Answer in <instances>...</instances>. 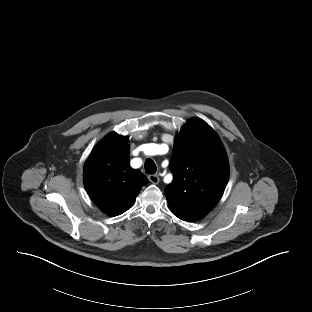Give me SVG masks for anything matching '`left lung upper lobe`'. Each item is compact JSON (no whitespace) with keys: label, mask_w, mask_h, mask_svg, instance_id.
I'll return each mask as SVG.
<instances>
[{"label":"left lung upper lobe","mask_w":312,"mask_h":312,"mask_svg":"<svg viewBox=\"0 0 312 312\" xmlns=\"http://www.w3.org/2000/svg\"><path fill=\"white\" fill-rule=\"evenodd\" d=\"M170 168L174 179L165 195L171 212L188 222L203 218L223 195L229 177L225 149L206 122L192 118L182 127Z\"/></svg>","instance_id":"5c2ea615"}]
</instances>
